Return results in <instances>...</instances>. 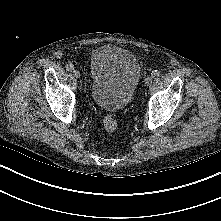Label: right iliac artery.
Wrapping results in <instances>:
<instances>
[{
    "label": "right iliac artery",
    "instance_id": "1",
    "mask_svg": "<svg viewBox=\"0 0 221 221\" xmlns=\"http://www.w3.org/2000/svg\"><path fill=\"white\" fill-rule=\"evenodd\" d=\"M66 70H68V71L74 70V65H73L72 63H68V64L66 65Z\"/></svg>",
    "mask_w": 221,
    "mask_h": 221
}]
</instances>
